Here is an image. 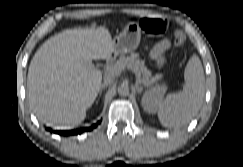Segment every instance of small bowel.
<instances>
[{
    "label": "small bowel",
    "mask_w": 243,
    "mask_h": 167,
    "mask_svg": "<svg viewBox=\"0 0 243 167\" xmlns=\"http://www.w3.org/2000/svg\"><path fill=\"white\" fill-rule=\"evenodd\" d=\"M168 41L164 40L162 42H160L159 44H157L152 52H151V58L153 61H155L156 63H161L163 60V55L164 52L166 51V49L168 48Z\"/></svg>",
    "instance_id": "obj_1"
}]
</instances>
